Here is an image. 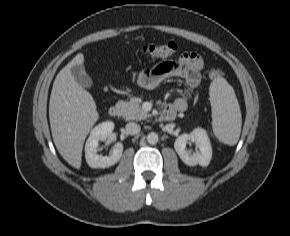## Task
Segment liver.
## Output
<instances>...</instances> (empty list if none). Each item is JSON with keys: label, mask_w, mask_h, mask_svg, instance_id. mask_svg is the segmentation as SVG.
Listing matches in <instances>:
<instances>
[{"label": "liver", "mask_w": 290, "mask_h": 236, "mask_svg": "<svg viewBox=\"0 0 290 236\" xmlns=\"http://www.w3.org/2000/svg\"><path fill=\"white\" fill-rule=\"evenodd\" d=\"M84 55L77 54L57 74L53 83L49 120L54 144L72 167L80 169L84 141L99 118L92 95L74 79L71 68L82 65Z\"/></svg>", "instance_id": "6515ba94"}]
</instances>
